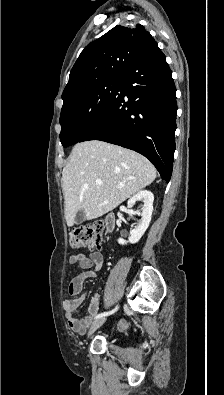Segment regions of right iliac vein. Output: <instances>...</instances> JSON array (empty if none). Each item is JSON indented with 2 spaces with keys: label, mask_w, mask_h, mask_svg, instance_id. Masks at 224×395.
Listing matches in <instances>:
<instances>
[{
  "label": "right iliac vein",
  "mask_w": 224,
  "mask_h": 395,
  "mask_svg": "<svg viewBox=\"0 0 224 395\" xmlns=\"http://www.w3.org/2000/svg\"><path fill=\"white\" fill-rule=\"evenodd\" d=\"M105 321H106V318L96 319L90 326V329H89V332H88V337L92 333H94L99 327H101Z\"/></svg>",
  "instance_id": "obj_1"
}]
</instances>
